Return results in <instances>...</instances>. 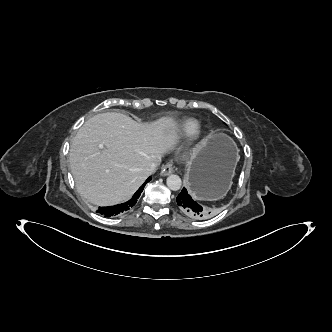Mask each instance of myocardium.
Here are the masks:
<instances>
[{"label":"myocardium","mask_w":332,"mask_h":332,"mask_svg":"<svg viewBox=\"0 0 332 332\" xmlns=\"http://www.w3.org/2000/svg\"><path fill=\"white\" fill-rule=\"evenodd\" d=\"M204 134V131L201 128H197L192 134H191V141L196 142L202 138Z\"/></svg>","instance_id":"f54148a6"}]
</instances>
